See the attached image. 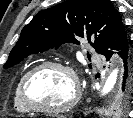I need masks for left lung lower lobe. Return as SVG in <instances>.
<instances>
[{
	"label": "left lung lower lobe",
	"mask_w": 133,
	"mask_h": 118,
	"mask_svg": "<svg viewBox=\"0 0 133 118\" xmlns=\"http://www.w3.org/2000/svg\"><path fill=\"white\" fill-rule=\"evenodd\" d=\"M133 47V46H132ZM117 50L118 54L123 60V77L117 89L121 91L130 89L132 94L133 89V51L131 49L130 41L128 40L124 25L121 24L113 33L110 41L104 47L100 54H103L107 60H110L113 52Z\"/></svg>",
	"instance_id": "0a47b994"
}]
</instances>
